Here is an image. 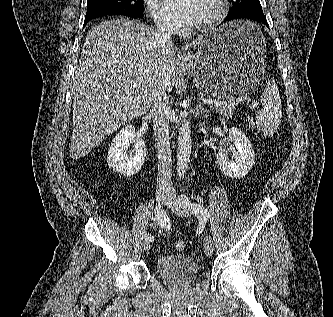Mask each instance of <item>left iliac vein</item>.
Wrapping results in <instances>:
<instances>
[{
  "label": "left iliac vein",
  "mask_w": 333,
  "mask_h": 317,
  "mask_svg": "<svg viewBox=\"0 0 333 317\" xmlns=\"http://www.w3.org/2000/svg\"><path fill=\"white\" fill-rule=\"evenodd\" d=\"M166 204L177 215L183 217L189 216L188 209L181 205L174 192H169ZM204 252L207 256H211L213 253V243L210 236H206L205 238Z\"/></svg>",
  "instance_id": "obj_1"
}]
</instances>
